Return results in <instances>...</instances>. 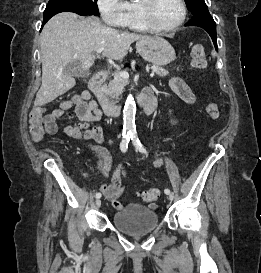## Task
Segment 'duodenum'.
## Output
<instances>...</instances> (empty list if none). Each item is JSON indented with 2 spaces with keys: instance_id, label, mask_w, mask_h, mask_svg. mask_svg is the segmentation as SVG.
Returning <instances> with one entry per match:
<instances>
[{
  "instance_id": "duodenum-1",
  "label": "duodenum",
  "mask_w": 261,
  "mask_h": 273,
  "mask_svg": "<svg viewBox=\"0 0 261 273\" xmlns=\"http://www.w3.org/2000/svg\"><path fill=\"white\" fill-rule=\"evenodd\" d=\"M107 79V73L106 72H98L96 73L90 83H89V89L93 92H97L102 84ZM138 104L143 109L144 113L146 115L151 114L153 110L156 107V99L151 93V91L147 90L141 93L138 97ZM102 107L105 115L107 116H118L121 114L123 110L122 104L118 103H111L107 100H103Z\"/></svg>"
}]
</instances>
